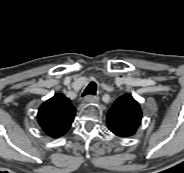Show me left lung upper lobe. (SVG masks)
<instances>
[{"label":"left lung upper lobe","mask_w":184,"mask_h":173,"mask_svg":"<svg viewBox=\"0 0 184 173\" xmlns=\"http://www.w3.org/2000/svg\"><path fill=\"white\" fill-rule=\"evenodd\" d=\"M142 112L139 103L125 94L118 98L107 114L108 129L118 137L134 135L141 124Z\"/></svg>","instance_id":"obj_1"}]
</instances>
